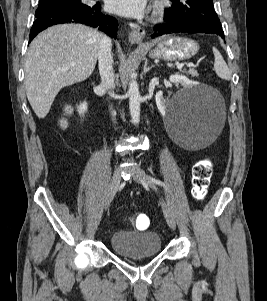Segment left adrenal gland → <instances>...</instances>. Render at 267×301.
Returning <instances> with one entry per match:
<instances>
[{"instance_id": "a2214340", "label": "left adrenal gland", "mask_w": 267, "mask_h": 301, "mask_svg": "<svg viewBox=\"0 0 267 301\" xmlns=\"http://www.w3.org/2000/svg\"><path fill=\"white\" fill-rule=\"evenodd\" d=\"M147 64H148V60L145 59L144 66H143V73L144 74L147 73L152 67H154V65H151V66L148 67Z\"/></svg>"}]
</instances>
